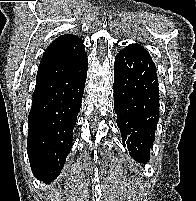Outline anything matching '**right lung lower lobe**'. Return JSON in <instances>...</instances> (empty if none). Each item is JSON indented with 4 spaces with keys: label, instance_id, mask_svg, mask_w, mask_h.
<instances>
[{
    "label": "right lung lower lobe",
    "instance_id": "1",
    "mask_svg": "<svg viewBox=\"0 0 196 201\" xmlns=\"http://www.w3.org/2000/svg\"><path fill=\"white\" fill-rule=\"evenodd\" d=\"M87 59L39 65L29 113L27 153L35 177L50 183L71 151L87 78Z\"/></svg>",
    "mask_w": 196,
    "mask_h": 201
}]
</instances>
